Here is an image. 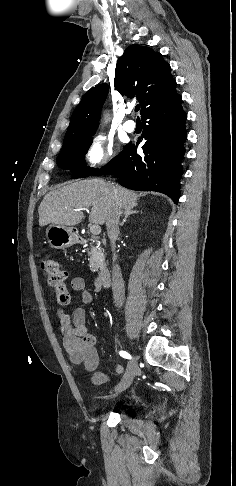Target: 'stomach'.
Returning a JSON list of instances; mask_svg holds the SVG:
<instances>
[{"instance_id": "1", "label": "stomach", "mask_w": 236, "mask_h": 486, "mask_svg": "<svg viewBox=\"0 0 236 486\" xmlns=\"http://www.w3.org/2000/svg\"><path fill=\"white\" fill-rule=\"evenodd\" d=\"M46 236L51 247L55 249H65L78 242V235L74 228L65 225H49Z\"/></svg>"}]
</instances>
